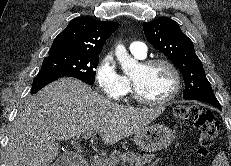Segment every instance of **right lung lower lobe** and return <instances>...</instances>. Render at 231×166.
Segmentation results:
<instances>
[{
	"label": "right lung lower lobe",
	"instance_id": "right-lung-lower-lobe-1",
	"mask_svg": "<svg viewBox=\"0 0 231 166\" xmlns=\"http://www.w3.org/2000/svg\"><path fill=\"white\" fill-rule=\"evenodd\" d=\"M60 77H66V76H62L61 74L54 73V72L40 71L38 75L34 78L31 93L35 94L40 89H42L44 86L59 79Z\"/></svg>",
	"mask_w": 231,
	"mask_h": 166
}]
</instances>
